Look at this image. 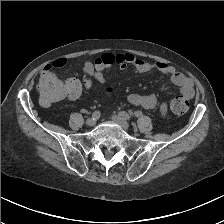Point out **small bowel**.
I'll use <instances>...</instances> for the list:
<instances>
[{"instance_id": "c3829d8e", "label": "small bowel", "mask_w": 224, "mask_h": 224, "mask_svg": "<svg viewBox=\"0 0 224 224\" xmlns=\"http://www.w3.org/2000/svg\"><path fill=\"white\" fill-rule=\"evenodd\" d=\"M67 63L65 58L55 59L52 63L45 65L41 71L40 82L47 78H55L52 73L53 68L64 67ZM117 65L120 69H125L128 66L134 68L138 72L145 73L154 71L163 75L169 76L171 82L180 88L181 94L187 99L194 96L193 82L181 72L177 71L173 66L164 62H149L132 55L130 53L111 54L105 53L98 57L95 61H87L84 64L83 70L87 75L95 77L100 82H105L103 69L107 66ZM128 102L134 106L152 109L157 104V96L154 93L139 94L132 93L128 96ZM162 115L167 112V105L162 103L160 106Z\"/></svg>"}]
</instances>
